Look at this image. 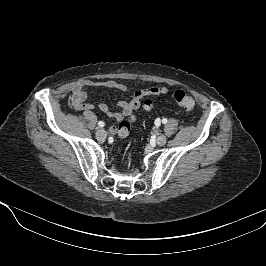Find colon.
I'll list each match as a JSON object with an SVG mask.
<instances>
[{"label":"colon","mask_w":266,"mask_h":266,"mask_svg":"<svg viewBox=\"0 0 266 266\" xmlns=\"http://www.w3.org/2000/svg\"><path fill=\"white\" fill-rule=\"evenodd\" d=\"M174 100L176 102V104L186 110V111H191L194 109L195 107V100L192 96H190L189 94H187L185 91L183 90H176L173 94ZM153 107V101L148 99L145 101V109L146 110H150ZM135 121V117L131 116L129 117L127 120L122 121L117 129L118 135L120 137H127L130 133L132 124Z\"/></svg>","instance_id":"colon-1"}]
</instances>
